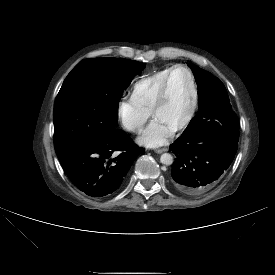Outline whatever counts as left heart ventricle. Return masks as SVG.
Listing matches in <instances>:
<instances>
[{"label": "left heart ventricle", "mask_w": 275, "mask_h": 275, "mask_svg": "<svg viewBox=\"0 0 275 275\" xmlns=\"http://www.w3.org/2000/svg\"><path fill=\"white\" fill-rule=\"evenodd\" d=\"M192 99L193 94L189 75L186 71L178 69L173 72L170 78L165 103L154 116L162 119L174 129L187 117Z\"/></svg>", "instance_id": "b2bd125f"}]
</instances>
